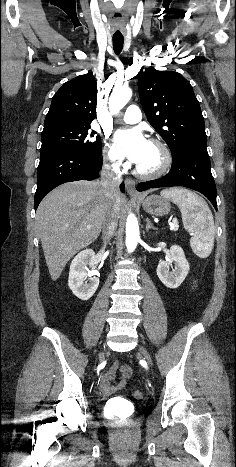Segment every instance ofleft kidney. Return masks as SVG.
<instances>
[{"instance_id":"left-kidney-1","label":"left kidney","mask_w":236,"mask_h":467,"mask_svg":"<svg viewBox=\"0 0 236 467\" xmlns=\"http://www.w3.org/2000/svg\"><path fill=\"white\" fill-rule=\"evenodd\" d=\"M173 263L175 268L169 271V266ZM190 266L185 258L183 249L173 245L170 248V256L167 261H162L157 266V275L161 282L168 288L176 289L185 280Z\"/></svg>"}]
</instances>
